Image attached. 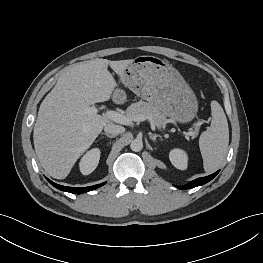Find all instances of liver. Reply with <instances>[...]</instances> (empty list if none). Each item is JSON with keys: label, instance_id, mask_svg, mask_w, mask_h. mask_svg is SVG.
I'll list each match as a JSON object with an SVG mask.
<instances>
[{"label": "liver", "instance_id": "liver-1", "mask_svg": "<svg viewBox=\"0 0 263 263\" xmlns=\"http://www.w3.org/2000/svg\"><path fill=\"white\" fill-rule=\"evenodd\" d=\"M129 60L94 59L62 73L42 101L34 126V147L45 171L64 179L77 159L93 144L110 121L84 108L108 101L117 86L108 66L120 81Z\"/></svg>", "mask_w": 263, "mask_h": 263}]
</instances>
